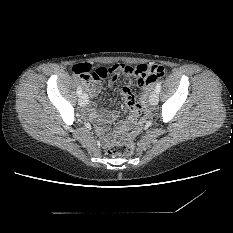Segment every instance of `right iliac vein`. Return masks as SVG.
<instances>
[{"label":"right iliac vein","instance_id":"1","mask_svg":"<svg viewBox=\"0 0 233 233\" xmlns=\"http://www.w3.org/2000/svg\"><path fill=\"white\" fill-rule=\"evenodd\" d=\"M88 102V95L86 93H83L80 97H79V104L81 106H85Z\"/></svg>","mask_w":233,"mask_h":233}]
</instances>
